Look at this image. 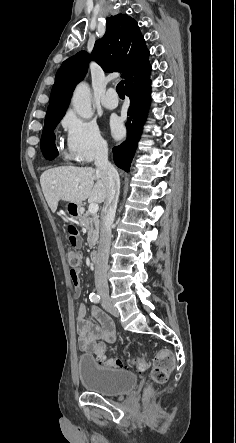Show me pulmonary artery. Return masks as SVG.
I'll use <instances>...</instances> for the list:
<instances>
[{"instance_id": "e3ab8cb5", "label": "pulmonary artery", "mask_w": 236, "mask_h": 443, "mask_svg": "<svg viewBox=\"0 0 236 443\" xmlns=\"http://www.w3.org/2000/svg\"><path fill=\"white\" fill-rule=\"evenodd\" d=\"M116 90L114 88H109L105 95L101 99V104L107 109H115L118 106L117 101H112L108 99V96L115 94Z\"/></svg>"}]
</instances>
